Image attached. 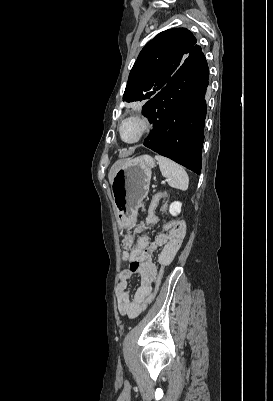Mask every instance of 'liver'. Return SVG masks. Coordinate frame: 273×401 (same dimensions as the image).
Masks as SVG:
<instances>
[{
	"label": "liver",
	"mask_w": 273,
	"mask_h": 401,
	"mask_svg": "<svg viewBox=\"0 0 273 401\" xmlns=\"http://www.w3.org/2000/svg\"><path fill=\"white\" fill-rule=\"evenodd\" d=\"M131 152H133V150H130L129 154H131ZM137 158H138V156H137ZM127 160H135V158H132V156H129V158H120V160H116V162H114V164H112V166L108 172V178H109L110 184H112L113 178H114L117 170H119L120 166H122V164H124V162H127Z\"/></svg>",
	"instance_id": "liver-1"
}]
</instances>
